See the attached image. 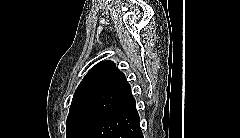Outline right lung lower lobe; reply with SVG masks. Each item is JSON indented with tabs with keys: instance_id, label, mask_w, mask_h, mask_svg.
<instances>
[{
	"instance_id": "98d812e1",
	"label": "right lung lower lobe",
	"mask_w": 240,
	"mask_h": 138,
	"mask_svg": "<svg viewBox=\"0 0 240 138\" xmlns=\"http://www.w3.org/2000/svg\"><path fill=\"white\" fill-rule=\"evenodd\" d=\"M86 138H143L135 100L109 114Z\"/></svg>"
}]
</instances>
